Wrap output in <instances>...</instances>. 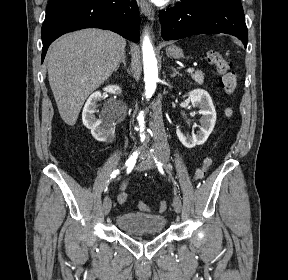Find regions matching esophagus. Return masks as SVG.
<instances>
[{
	"label": "esophagus",
	"mask_w": 288,
	"mask_h": 280,
	"mask_svg": "<svg viewBox=\"0 0 288 280\" xmlns=\"http://www.w3.org/2000/svg\"><path fill=\"white\" fill-rule=\"evenodd\" d=\"M140 9L142 13L151 21L154 20L155 12L152 6L147 2V0H140Z\"/></svg>",
	"instance_id": "34e87169"
}]
</instances>
